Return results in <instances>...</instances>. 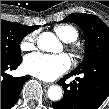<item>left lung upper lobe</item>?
I'll return each instance as SVG.
<instances>
[{"label": "left lung upper lobe", "instance_id": "5c2ea615", "mask_svg": "<svg viewBox=\"0 0 109 109\" xmlns=\"http://www.w3.org/2000/svg\"><path fill=\"white\" fill-rule=\"evenodd\" d=\"M63 22H72L80 26L85 35V54L83 62L75 70L87 67L95 61L109 59V27L97 16L85 13H72ZM79 97V90H72L69 99Z\"/></svg>", "mask_w": 109, "mask_h": 109}]
</instances>
